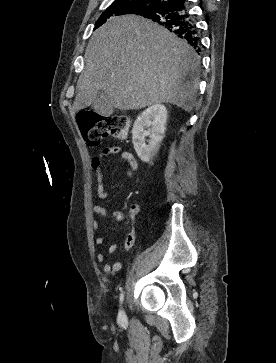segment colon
Returning a JSON list of instances; mask_svg holds the SVG:
<instances>
[{"label":"colon","mask_w":276,"mask_h":363,"mask_svg":"<svg viewBox=\"0 0 276 363\" xmlns=\"http://www.w3.org/2000/svg\"><path fill=\"white\" fill-rule=\"evenodd\" d=\"M77 121L83 139L91 147L98 146L108 136L125 140L131 125V119L127 115L100 116L87 109L78 112Z\"/></svg>","instance_id":"colon-1"}]
</instances>
